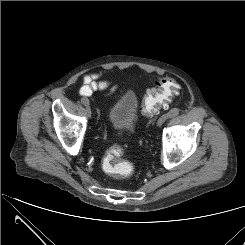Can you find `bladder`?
<instances>
[{
    "label": "bladder",
    "instance_id": "obj_1",
    "mask_svg": "<svg viewBox=\"0 0 245 245\" xmlns=\"http://www.w3.org/2000/svg\"><path fill=\"white\" fill-rule=\"evenodd\" d=\"M139 101L132 90L121 92L111 104L108 119L113 129L128 134L135 128L138 116Z\"/></svg>",
    "mask_w": 245,
    "mask_h": 245
}]
</instances>
